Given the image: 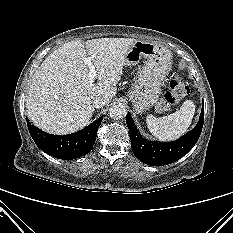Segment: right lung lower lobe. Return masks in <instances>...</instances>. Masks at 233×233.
Returning a JSON list of instances; mask_svg holds the SVG:
<instances>
[{
	"instance_id": "obj_1",
	"label": "right lung lower lobe",
	"mask_w": 233,
	"mask_h": 233,
	"mask_svg": "<svg viewBox=\"0 0 233 233\" xmlns=\"http://www.w3.org/2000/svg\"><path fill=\"white\" fill-rule=\"evenodd\" d=\"M102 120L103 117L101 116L78 132L60 136L40 130L31 125L28 118H26L30 135L36 145L45 153L63 160H73L82 157L92 149Z\"/></svg>"
}]
</instances>
